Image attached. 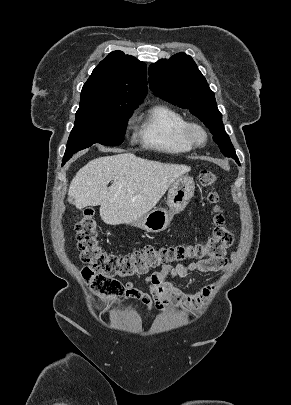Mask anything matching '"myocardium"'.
Segmentation results:
<instances>
[{"instance_id": "myocardium-1", "label": "myocardium", "mask_w": 291, "mask_h": 405, "mask_svg": "<svg viewBox=\"0 0 291 405\" xmlns=\"http://www.w3.org/2000/svg\"><path fill=\"white\" fill-rule=\"evenodd\" d=\"M183 134L185 139L193 147H203L208 141V132L203 125L198 122L190 121L186 122Z\"/></svg>"}]
</instances>
